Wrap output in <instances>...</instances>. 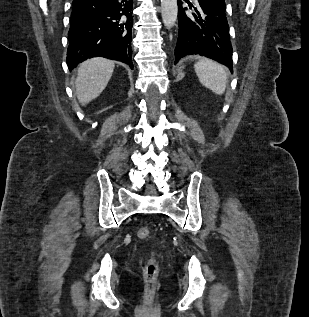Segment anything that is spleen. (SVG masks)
Masks as SVG:
<instances>
[{
  "instance_id": "1",
  "label": "spleen",
  "mask_w": 309,
  "mask_h": 317,
  "mask_svg": "<svg viewBox=\"0 0 309 317\" xmlns=\"http://www.w3.org/2000/svg\"><path fill=\"white\" fill-rule=\"evenodd\" d=\"M194 69L203 86L217 95L225 92L227 72L222 65L209 59H202L194 65Z\"/></svg>"
}]
</instances>
